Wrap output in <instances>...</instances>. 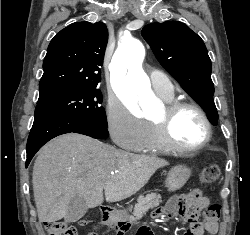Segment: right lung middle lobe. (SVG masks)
<instances>
[{"mask_svg":"<svg viewBox=\"0 0 250 235\" xmlns=\"http://www.w3.org/2000/svg\"><path fill=\"white\" fill-rule=\"evenodd\" d=\"M101 103L102 94L95 85L39 97L34 115L68 116L107 127Z\"/></svg>","mask_w":250,"mask_h":235,"instance_id":"obj_1","label":"right lung middle lobe"}]
</instances>
